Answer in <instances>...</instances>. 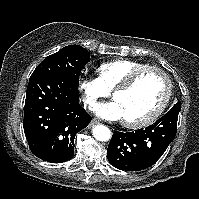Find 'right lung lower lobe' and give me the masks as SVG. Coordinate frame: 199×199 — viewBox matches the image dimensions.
<instances>
[{"mask_svg":"<svg viewBox=\"0 0 199 199\" xmlns=\"http://www.w3.org/2000/svg\"><path fill=\"white\" fill-rule=\"evenodd\" d=\"M78 86L57 74L30 77L23 127L32 153L51 163L70 160L76 133L91 116L79 105Z\"/></svg>","mask_w":199,"mask_h":199,"instance_id":"1","label":"right lung lower lobe"}]
</instances>
